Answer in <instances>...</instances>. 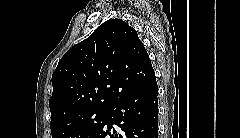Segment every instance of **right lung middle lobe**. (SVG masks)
Segmentation results:
<instances>
[{
  "label": "right lung middle lobe",
  "mask_w": 240,
  "mask_h": 138,
  "mask_svg": "<svg viewBox=\"0 0 240 138\" xmlns=\"http://www.w3.org/2000/svg\"><path fill=\"white\" fill-rule=\"evenodd\" d=\"M108 108H90L50 124L52 138H92L103 125Z\"/></svg>",
  "instance_id": "right-lung-middle-lobe-1"
}]
</instances>
